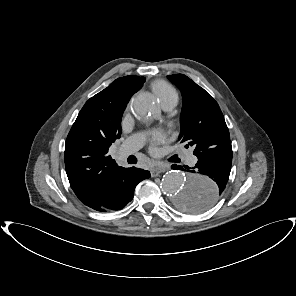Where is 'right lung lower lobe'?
I'll return each instance as SVG.
<instances>
[{
    "mask_svg": "<svg viewBox=\"0 0 296 296\" xmlns=\"http://www.w3.org/2000/svg\"><path fill=\"white\" fill-rule=\"evenodd\" d=\"M149 177V171L135 167L125 168L115 184L91 208L100 212L122 209L132 200L136 185Z\"/></svg>",
    "mask_w": 296,
    "mask_h": 296,
    "instance_id": "obj_1",
    "label": "right lung lower lobe"
}]
</instances>
